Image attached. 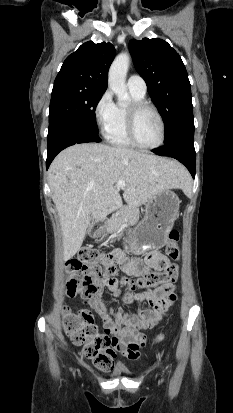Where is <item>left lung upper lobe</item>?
Here are the masks:
<instances>
[{"mask_svg": "<svg viewBox=\"0 0 233 413\" xmlns=\"http://www.w3.org/2000/svg\"><path fill=\"white\" fill-rule=\"evenodd\" d=\"M129 48L137 72L158 107L166 128L165 145L194 137L190 82L179 54L162 39L131 40Z\"/></svg>", "mask_w": 233, "mask_h": 413, "instance_id": "5c2ea615", "label": "left lung upper lobe"}]
</instances>
